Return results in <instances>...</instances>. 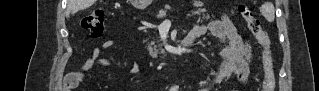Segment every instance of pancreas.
<instances>
[{
  "instance_id": "obj_1",
  "label": "pancreas",
  "mask_w": 319,
  "mask_h": 91,
  "mask_svg": "<svg viewBox=\"0 0 319 91\" xmlns=\"http://www.w3.org/2000/svg\"><path fill=\"white\" fill-rule=\"evenodd\" d=\"M170 10V7L169 6H166L164 10H160L159 11V14L157 15L158 18H162L163 16L166 15V12ZM205 10L204 9H199L198 11H195L193 12L194 15H200L201 13H204ZM210 16L207 15H203L202 19L199 18V21L200 20H209ZM148 52H149V55L153 58H156L158 56L159 53H163V50L162 49H156L155 47L152 48L151 46L148 47Z\"/></svg>"
}]
</instances>
